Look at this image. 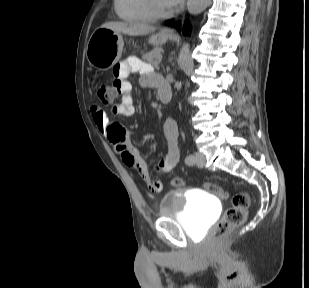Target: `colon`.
Segmentation results:
<instances>
[{
  "label": "colon",
  "mask_w": 309,
  "mask_h": 288,
  "mask_svg": "<svg viewBox=\"0 0 309 288\" xmlns=\"http://www.w3.org/2000/svg\"><path fill=\"white\" fill-rule=\"evenodd\" d=\"M89 87L93 94L102 102L109 103L113 97L118 93L117 85L113 87L100 80L96 75H92L89 78ZM170 184L175 187L185 186V180L181 177H174L171 179ZM206 189L216 196L226 199L229 197L228 192L221 186L214 183H206ZM151 189L155 192L152 186ZM250 205V197L247 192L241 191L234 194L231 198V206L226 209L222 218L217 222L211 232V238L213 240H219L223 238L233 228L241 225L246 217Z\"/></svg>",
  "instance_id": "colon-1"
}]
</instances>
